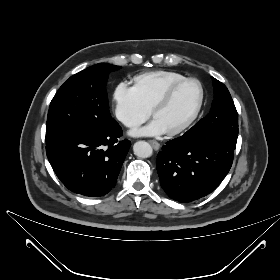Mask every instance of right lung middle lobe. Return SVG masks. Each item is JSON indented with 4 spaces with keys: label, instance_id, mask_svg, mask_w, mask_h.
<instances>
[{
    "label": "right lung middle lobe",
    "instance_id": "obj_1",
    "mask_svg": "<svg viewBox=\"0 0 280 280\" xmlns=\"http://www.w3.org/2000/svg\"><path fill=\"white\" fill-rule=\"evenodd\" d=\"M120 68L100 63L70 77L51 101L46 140L63 131L98 130L114 124L105 87L108 74Z\"/></svg>",
    "mask_w": 280,
    "mask_h": 280
}]
</instances>
